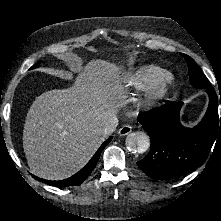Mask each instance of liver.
I'll return each mask as SVG.
<instances>
[{
	"instance_id": "1",
	"label": "liver",
	"mask_w": 221,
	"mask_h": 221,
	"mask_svg": "<svg viewBox=\"0 0 221 221\" xmlns=\"http://www.w3.org/2000/svg\"><path fill=\"white\" fill-rule=\"evenodd\" d=\"M120 74L115 63L92 60L74 86L36 98L23 130V148L34 175L62 180L91 159L105 139V124L127 98Z\"/></svg>"
}]
</instances>
